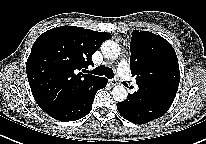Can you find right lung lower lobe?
Wrapping results in <instances>:
<instances>
[{"label": "right lung lower lobe", "instance_id": "98d812e1", "mask_svg": "<svg viewBox=\"0 0 206 144\" xmlns=\"http://www.w3.org/2000/svg\"><path fill=\"white\" fill-rule=\"evenodd\" d=\"M107 82L106 78L99 77L78 96L47 112V114L60 121H75L83 118L91 111L96 92L104 88Z\"/></svg>", "mask_w": 206, "mask_h": 144}]
</instances>
